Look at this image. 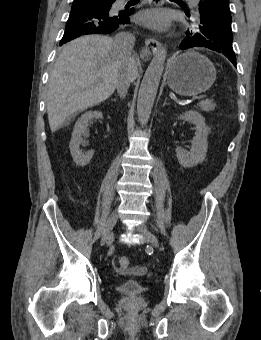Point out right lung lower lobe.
Instances as JSON below:
<instances>
[{
    "label": "right lung lower lobe",
    "mask_w": 261,
    "mask_h": 340,
    "mask_svg": "<svg viewBox=\"0 0 261 340\" xmlns=\"http://www.w3.org/2000/svg\"><path fill=\"white\" fill-rule=\"evenodd\" d=\"M115 0H74L60 45L85 34H106L129 23L132 8L115 10Z\"/></svg>",
    "instance_id": "1"
}]
</instances>
